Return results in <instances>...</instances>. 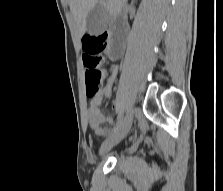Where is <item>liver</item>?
Instances as JSON below:
<instances>
[{
    "instance_id": "liver-1",
    "label": "liver",
    "mask_w": 223,
    "mask_h": 191,
    "mask_svg": "<svg viewBox=\"0 0 223 191\" xmlns=\"http://www.w3.org/2000/svg\"><path fill=\"white\" fill-rule=\"evenodd\" d=\"M127 0H69L70 10L76 21L80 35L86 31V18L89 11L100 3L111 15L121 13Z\"/></svg>"
}]
</instances>
